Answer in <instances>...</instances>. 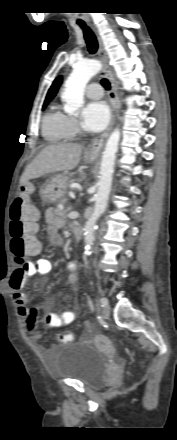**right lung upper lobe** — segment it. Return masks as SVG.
<instances>
[{"label": "right lung upper lobe", "instance_id": "cb5924a9", "mask_svg": "<svg viewBox=\"0 0 177 440\" xmlns=\"http://www.w3.org/2000/svg\"><path fill=\"white\" fill-rule=\"evenodd\" d=\"M61 82H62V78L61 77H58V78L55 79V81L53 82L52 86L50 87V89H49V91L47 93V96L45 98L44 103L45 102L48 103L50 100H52L54 98V96L57 93V90H58L59 86L61 85Z\"/></svg>", "mask_w": 177, "mask_h": 440}]
</instances>
